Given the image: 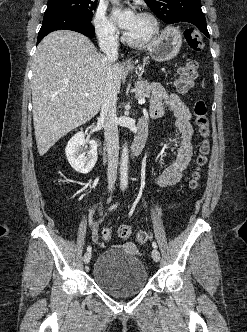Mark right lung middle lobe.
<instances>
[{"mask_svg":"<svg viewBox=\"0 0 247 332\" xmlns=\"http://www.w3.org/2000/svg\"><path fill=\"white\" fill-rule=\"evenodd\" d=\"M97 0H48L44 15L75 14L91 19Z\"/></svg>","mask_w":247,"mask_h":332,"instance_id":"dd1d6c3e","label":"right lung middle lobe"}]
</instances>
